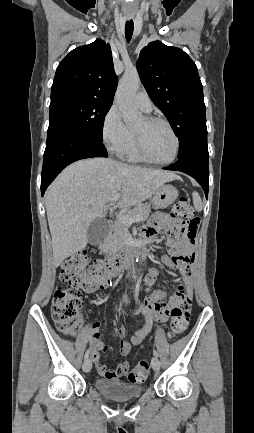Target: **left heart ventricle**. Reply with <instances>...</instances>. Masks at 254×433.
Returning <instances> with one entry per match:
<instances>
[{
    "instance_id": "obj_1",
    "label": "left heart ventricle",
    "mask_w": 254,
    "mask_h": 433,
    "mask_svg": "<svg viewBox=\"0 0 254 433\" xmlns=\"http://www.w3.org/2000/svg\"><path fill=\"white\" fill-rule=\"evenodd\" d=\"M148 152L157 161L170 159L175 150V141L169 130L162 124H149L144 119L134 130Z\"/></svg>"
}]
</instances>
